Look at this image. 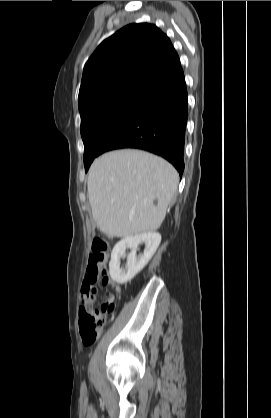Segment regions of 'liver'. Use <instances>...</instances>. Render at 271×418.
Wrapping results in <instances>:
<instances>
[{"label":"liver","mask_w":271,"mask_h":418,"mask_svg":"<svg viewBox=\"0 0 271 418\" xmlns=\"http://www.w3.org/2000/svg\"><path fill=\"white\" fill-rule=\"evenodd\" d=\"M178 182L176 169L148 152L124 149L105 153L89 169L93 219L109 236L154 232L165 218Z\"/></svg>","instance_id":"obj_1"}]
</instances>
